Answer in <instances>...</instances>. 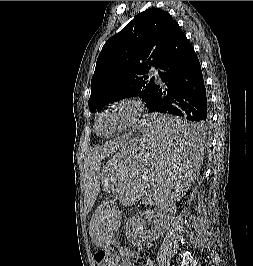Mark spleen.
Returning <instances> with one entry per match:
<instances>
[{"instance_id": "spleen-1", "label": "spleen", "mask_w": 253, "mask_h": 266, "mask_svg": "<svg viewBox=\"0 0 253 266\" xmlns=\"http://www.w3.org/2000/svg\"><path fill=\"white\" fill-rule=\"evenodd\" d=\"M141 144L134 156L117 161L119 184L114 193L127 210H138L141 204H157L164 210L167 204L185 199V190L198 174L203 159L202 123H192V117L177 113H160L144 117L141 124ZM118 207H99L91 216L90 234L96 246H119L121 235Z\"/></svg>"}]
</instances>
